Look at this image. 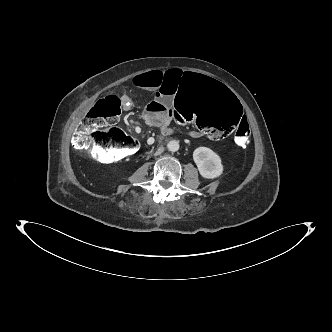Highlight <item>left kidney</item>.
<instances>
[{
	"label": "left kidney",
	"instance_id": "obj_1",
	"mask_svg": "<svg viewBox=\"0 0 332 332\" xmlns=\"http://www.w3.org/2000/svg\"><path fill=\"white\" fill-rule=\"evenodd\" d=\"M193 160L203 178L214 179L223 172L220 156L207 147H198L193 152Z\"/></svg>",
	"mask_w": 332,
	"mask_h": 332
}]
</instances>
